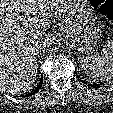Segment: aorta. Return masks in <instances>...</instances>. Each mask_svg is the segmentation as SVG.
Returning a JSON list of instances; mask_svg holds the SVG:
<instances>
[{
  "label": "aorta",
  "instance_id": "obj_1",
  "mask_svg": "<svg viewBox=\"0 0 113 113\" xmlns=\"http://www.w3.org/2000/svg\"><path fill=\"white\" fill-rule=\"evenodd\" d=\"M44 49L49 53L57 52L61 47V40L57 36L46 37L43 44Z\"/></svg>",
  "mask_w": 113,
  "mask_h": 113
}]
</instances>
